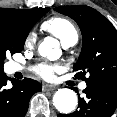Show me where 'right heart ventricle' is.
I'll list each match as a JSON object with an SVG mask.
<instances>
[{
  "label": "right heart ventricle",
  "instance_id": "obj_1",
  "mask_svg": "<svg viewBox=\"0 0 117 117\" xmlns=\"http://www.w3.org/2000/svg\"><path fill=\"white\" fill-rule=\"evenodd\" d=\"M43 28L56 36L63 45L77 42L78 32L74 24L63 17H54L43 23Z\"/></svg>",
  "mask_w": 117,
  "mask_h": 117
}]
</instances>
